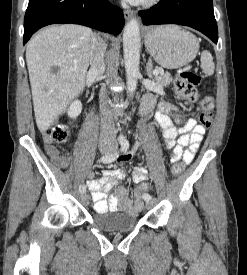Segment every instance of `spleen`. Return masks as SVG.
<instances>
[{
    "instance_id": "spleen-1",
    "label": "spleen",
    "mask_w": 247,
    "mask_h": 275,
    "mask_svg": "<svg viewBox=\"0 0 247 275\" xmlns=\"http://www.w3.org/2000/svg\"><path fill=\"white\" fill-rule=\"evenodd\" d=\"M201 64H202L203 71L207 75H212L214 73L215 65L213 62V57L209 51L205 50L202 52Z\"/></svg>"
}]
</instances>
